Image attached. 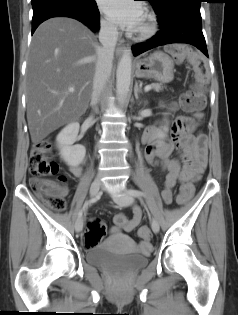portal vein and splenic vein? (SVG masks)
Masks as SVG:
<instances>
[{
	"mask_svg": "<svg viewBox=\"0 0 238 315\" xmlns=\"http://www.w3.org/2000/svg\"><path fill=\"white\" fill-rule=\"evenodd\" d=\"M151 88H152L151 85H147V86L144 88V90H145V91H148V90H150ZM69 92H74V88H69Z\"/></svg>",
	"mask_w": 238,
	"mask_h": 315,
	"instance_id": "1",
	"label": "portal vein and splenic vein"
}]
</instances>
